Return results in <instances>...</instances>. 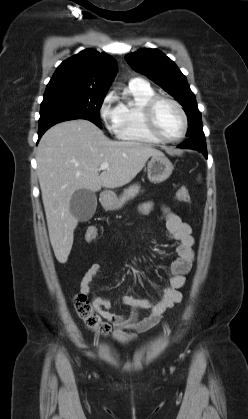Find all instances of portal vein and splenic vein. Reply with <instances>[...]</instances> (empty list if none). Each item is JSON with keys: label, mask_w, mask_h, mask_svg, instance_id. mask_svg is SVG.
Masks as SVG:
<instances>
[{"label": "portal vein and splenic vein", "mask_w": 248, "mask_h": 419, "mask_svg": "<svg viewBox=\"0 0 248 419\" xmlns=\"http://www.w3.org/2000/svg\"><path fill=\"white\" fill-rule=\"evenodd\" d=\"M107 168H109V164H108V163H102V164L100 165V170H105V169H107Z\"/></svg>", "instance_id": "1"}]
</instances>
